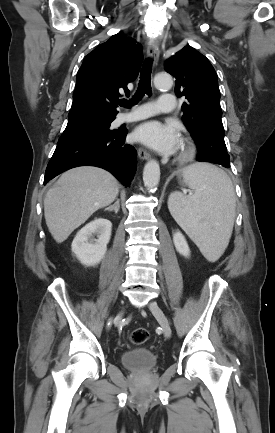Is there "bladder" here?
I'll list each match as a JSON object with an SVG mask.
<instances>
[{
  "label": "bladder",
  "mask_w": 275,
  "mask_h": 433,
  "mask_svg": "<svg viewBox=\"0 0 275 433\" xmlns=\"http://www.w3.org/2000/svg\"><path fill=\"white\" fill-rule=\"evenodd\" d=\"M120 361L126 369L148 371L156 366L157 357L148 348L136 347L124 351L120 356Z\"/></svg>",
  "instance_id": "1"
}]
</instances>
